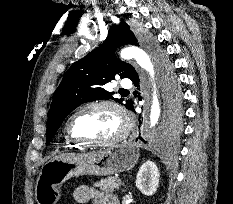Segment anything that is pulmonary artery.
Listing matches in <instances>:
<instances>
[{"instance_id": "1", "label": "pulmonary artery", "mask_w": 233, "mask_h": 204, "mask_svg": "<svg viewBox=\"0 0 233 204\" xmlns=\"http://www.w3.org/2000/svg\"><path fill=\"white\" fill-rule=\"evenodd\" d=\"M120 86L122 88H126V89L131 88L132 87V81L130 79H128V78H124V79L121 80Z\"/></svg>"}]
</instances>
